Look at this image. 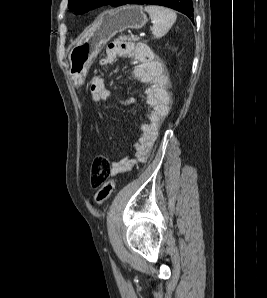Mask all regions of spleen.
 Listing matches in <instances>:
<instances>
[{
  "instance_id": "spleen-1",
  "label": "spleen",
  "mask_w": 267,
  "mask_h": 298,
  "mask_svg": "<svg viewBox=\"0 0 267 298\" xmlns=\"http://www.w3.org/2000/svg\"><path fill=\"white\" fill-rule=\"evenodd\" d=\"M144 10L151 18L153 23L152 33L156 38L166 35L177 19L176 13L165 7L147 5Z\"/></svg>"
}]
</instances>
